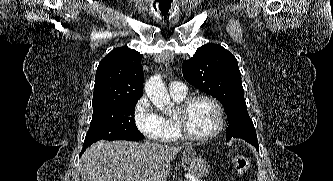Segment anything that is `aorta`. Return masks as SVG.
I'll use <instances>...</instances> for the list:
<instances>
[{
  "label": "aorta",
  "mask_w": 333,
  "mask_h": 181,
  "mask_svg": "<svg viewBox=\"0 0 333 181\" xmlns=\"http://www.w3.org/2000/svg\"><path fill=\"white\" fill-rule=\"evenodd\" d=\"M145 92L150 101L160 110H170L171 100L160 74L153 75L145 83Z\"/></svg>",
  "instance_id": "obj_1"
}]
</instances>
